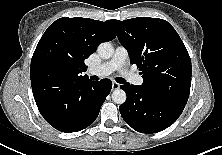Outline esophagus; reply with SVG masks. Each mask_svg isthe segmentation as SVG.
<instances>
[{
  "instance_id": "1",
  "label": "esophagus",
  "mask_w": 222,
  "mask_h": 155,
  "mask_svg": "<svg viewBox=\"0 0 222 155\" xmlns=\"http://www.w3.org/2000/svg\"><path fill=\"white\" fill-rule=\"evenodd\" d=\"M120 87V84L117 83V82H112V90H116V89H119Z\"/></svg>"
}]
</instances>
